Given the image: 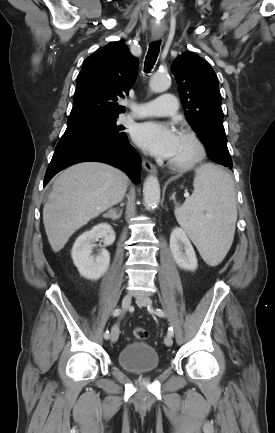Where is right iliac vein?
Here are the masks:
<instances>
[{"mask_svg": "<svg viewBox=\"0 0 275 433\" xmlns=\"http://www.w3.org/2000/svg\"><path fill=\"white\" fill-rule=\"evenodd\" d=\"M131 305V295L127 294L124 296V298L122 299V309L123 311H127V309L130 307ZM119 337V326L116 324L113 326L112 330H111V342H116L118 340Z\"/></svg>", "mask_w": 275, "mask_h": 433, "instance_id": "obj_1", "label": "right iliac vein"}]
</instances>
